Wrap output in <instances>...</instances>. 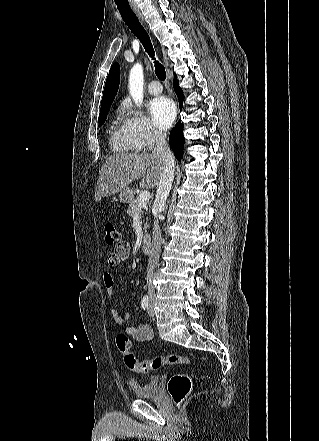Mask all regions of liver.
Wrapping results in <instances>:
<instances>
[{
    "label": "liver",
    "mask_w": 319,
    "mask_h": 441,
    "mask_svg": "<svg viewBox=\"0 0 319 441\" xmlns=\"http://www.w3.org/2000/svg\"><path fill=\"white\" fill-rule=\"evenodd\" d=\"M162 170L163 162L147 152L110 156L100 169L95 201L127 189L140 178L142 188H153L158 185Z\"/></svg>",
    "instance_id": "liver-1"
}]
</instances>
